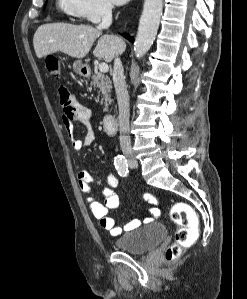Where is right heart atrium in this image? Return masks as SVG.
I'll return each mask as SVG.
<instances>
[{
  "label": "right heart atrium",
  "instance_id": "right-heart-atrium-1",
  "mask_svg": "<svg viewBox=\"0 0 247 299\" xmlns=\"http://www.w3.org/2000/svg\"><path fill=\"white\" fill-rule=\"evenodd\" d=\"M77 17L91 23H97L112 13L109 0H77Z\"/></svg>",
  "mask_w": 247,
  "mask_h": 299
}]
</instances>
